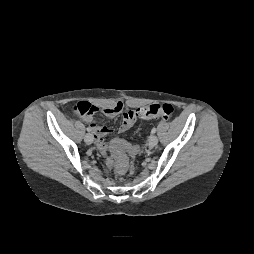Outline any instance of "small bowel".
<instances>
[{
    "instance_id": "c3829d8e",
    "label": "small bowel",
    "mask_w": 254,
    "mask_h": 254,
    "mask_svg": "<svg viewBox=\"0 0 254 254\" xmlns=\"http://www.w3.org/2000/svg\"><path fill=\"white\" fill-rule=\"evenodd\" d=\"M97 112L103 113L109 118L122 115V122L118 128L119 133H124L129 130L137 121V117L134 115V110L127 107L123 102L119 101L116 104L104 108H97ZM91 130H93L96 143L102 153L107 151V144L105 138L111 134L112 130L103 126L100 121L88 118ZM137 147L129 148V154L135 156L137 153Z\"/></svg>"
}]
</instances>
